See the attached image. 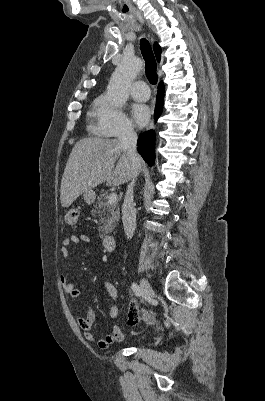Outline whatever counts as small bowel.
Returning <instances> with one entry per match:
<instances>
[{
	"instance_id": "c3829d8e",
	"label": "small bowel",
	"mask_w": 265,
	"mask_h": 401,
	"mask_svg": "<svg viewBox=\"0 0 265 401\" xmlns=\"http://www.w3.org/2000/svg\"><path fill=\"white\" fill-rule=\"evenodd\" d=\"M89 242H90V237L86 234L71 235L63 240L62 247L60 248V254L64 259H67L69 257L70 246ZM60 280L67 297L69 299H76L80 294V291L77 288V286L74 283L70 282L66 275H61ZM102 285L104 286L109 297L113 301V305L109 309V317L115 320L119 314V309L116 304L118 299V290L112 283L108 281H102ZM132 312H138V304L137 301L134 299L131 300L130 302L128 317ZM76 320L83 332L85 339L88 340L89 342L94 343L101 349H106L112 344L122 342L124 340L125 337L124 333L117 324L113 325L111 334H108L101 339L95 338L92 327L96 321V316L93 308L89 304L86 306L85 315H78ZM128 324L132 326L129 323V320Z\"/></svg>"
}]
</instances>
